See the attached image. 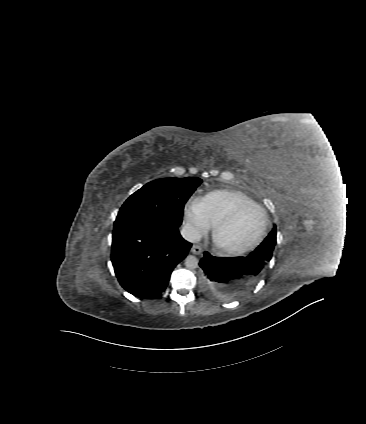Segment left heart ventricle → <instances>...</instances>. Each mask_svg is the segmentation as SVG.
Returning a JSON list of instances; mask_svg holds the SVG:
<instances>
[{"label": "left heart ventricle", "instance_id": "left-heart-ventricle-1", "mask_svg": "<svg viewBox=\"0 0 366 424\" xmlns=\"http://www.w3.org/2000/svg\"><path fill=\"white\" fill-rule=\"evenodd\" d=\"M263 216L257 208H248L242 211L238 217L218 235L220 243L238 247L253 241L263 227Z\"/></svg>", "mask_w": 366, "mask_h": 424}]
</instances>
